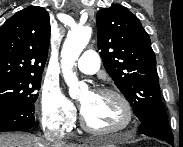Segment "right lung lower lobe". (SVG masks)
<instances>
[{
    "label": "right lung lower lobe",
    "instance_id": "right-lung-lower-lobe-1",
    "mask_svg": "<svg viewBox=\"0 0 183 147\" xmlns=\"http://www.w3.org/2000/svg\"><path fill=\"white\" fill-rule=\"evenodd\" d=\"M33 103L0 104V132L26 131L36 125Z\"/></svg>",
    "mask_w": 183,
    "mask_h": 147
}]
</instances>
